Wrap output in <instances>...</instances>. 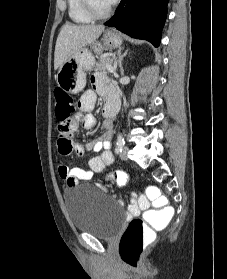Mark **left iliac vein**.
<instances>
[{
  "mask_svg": "<svg viewBox=\"0 0 227 279\" xmlns=\"http://www.w3.org/2000/svg\"><path fill=\"white\" fill-rule=\"evenodd\" d=\"M128 153H129V147H124L122 152L120 153V158L122 160H128Z\"/></svg>",
  "mask_w": 227,
  "mask_h": 279,
  "instance_id": "obj_1",
  "label": "left iliac vein"
}]
</instances>
